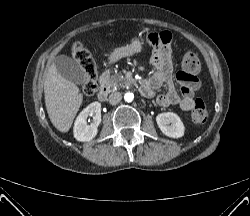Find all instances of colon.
<instances>
[{"label":"colon","instance_id":"obj_1","mask_svg":"<svg viewBox=\"0 0 250 216\" xmlns=\"http://www.w3.org/2000/svg\"><path fill=\"white\" fill-rule=\"evenodd\" d=\"M73 56L83 69L86 80L82 86V92L86 97L92 96L97 89L96 64L90 52L81 45L73 48ZM182 72L185 76H195L200 71V60L197 55L186 49L182 53ZM190 118L195 125H202L207 121L208 111L203 100L196 99Z\"/></svg>","mask_w":250,"mask_h":216}]
</instances>
